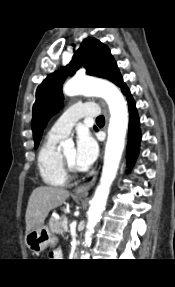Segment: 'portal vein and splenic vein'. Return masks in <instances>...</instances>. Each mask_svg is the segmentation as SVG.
<instances>
[{"mask_svg":"<svg viewBox=\"0 0 175 287\" xmlns=\"http://www.w3.org/2000/svg\"><path fill=\"white\" fill-rule=\"evenodd\" d=\"M67 225H68V220H67V218H64L63 219V228H64L65 231L68 230V226Z\"/></svg>","mask_w":175,"mask_h":287,"instance_id":"1","label":"portal vein and splenic vein"}]
</instances>
